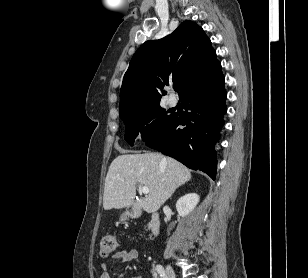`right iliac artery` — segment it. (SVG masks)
Segmentation results:
<instances>
[{
	"instance_id": "right-iliac-artery-1",
	"label": "right iliac artery",
	"mask_w": 308,
	"mask_h": 278,
	"mask_svg": "<svg viewBox=\"0 0 308 278\" xmlns=\"http://www.w3.org/2000/svg\"><path fill=\"white\" fill-rule=\"evenodd\" d=\"M156 270L162 278H166L165 270L161 265H157Z\"/></svg>"
}]
</instances>
